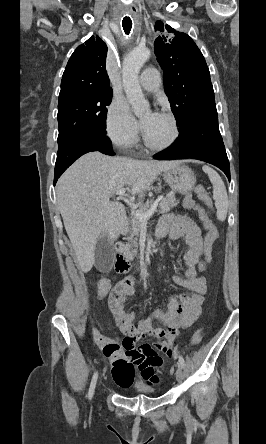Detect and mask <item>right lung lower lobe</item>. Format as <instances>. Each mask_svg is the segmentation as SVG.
Returning <instances> with one entry per match:
<instances>
[{
    "mask_svg": "<svg viewBox=\"0 0 266 444\" xmlns=\"http://www.w3.org/2000/svg\"><path fill=\"white\" fill-rule=\"evenodd\" d=\"M99 151L107 155H115L111 142L105 133H91L78 138L63 151L57 153L55 164L54 185L61 174L80 156L85 153Z\"/></svg>",
    "mask_w": 266,
    "mask_h": 444,
    "instance_id": "98d812e1",
    "label": "right lung lower lobe"
}]
</instances>
